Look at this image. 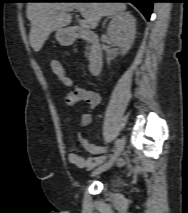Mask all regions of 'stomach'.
<instances>
[{"mask_svg":"<svg viewBox=\"0 0 188 213\" xmlns=\"http://www.w3.org/2000/svg\"><path fill=\"white\" fill-rule=\"evenodd\" d=\"M56 39L62 46H69L74 42V36L69 29H58Z\"/></svg>","mask_w":188,"mask_h":213,"instance_id":"0dacf381","label":"stomach"}]
</instances>
